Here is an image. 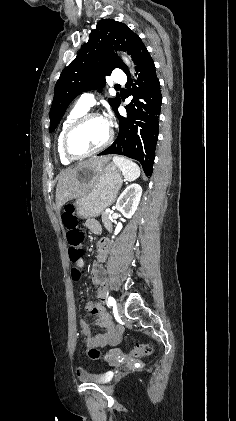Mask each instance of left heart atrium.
Listing matches in <instances>:
<instances>
[{
	"label": "left heart atrium",
	"mask_w": 236,
	"mask_h": 421,
	"mask_svg": "<svg viewBox=\"0 0 236 421\" xmlns=\"http://www.w3.org/2000/svg\"><path fill=\"white\" fill-rule=\"evenodd\" d=\"M104 120L106 121L108 126H110L112 124V119H111L110 116H106Z\"/></svg>",
	"instance_id": "obj_1"
}]
</instances>
